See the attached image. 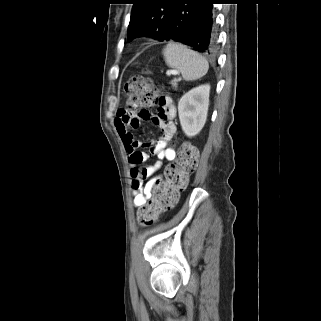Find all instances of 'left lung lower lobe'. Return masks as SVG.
Here are the masks:
<instances>
[{"mask_svg":"<svg viewBox=\"0 0 321 321\" xmlns=\"http://www.w3.org/2000/svg\"><path fill=\"white\" fill-rule=\"evenodd\" d=\"M218 0H178L162 41H175L211 54L216 48L213 4Z\"/></svg>","mask_w":321,"mask_h":321,"instance_id":"left-lung-lower-lobe-1","label":"left lung lower lobe"}]
</instances>
